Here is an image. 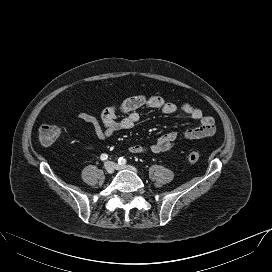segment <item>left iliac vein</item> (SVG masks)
<instances>
[{
	"instance_id": "4c4485c4",
	"label": "left iliac vein",
	"mask_w": 272,
	"mask_h": 272,
	"mask_svg": "<svg viewBox=\"0 0 272 272\" xmlns=\"http://www.w3.org/2000/svg\"><path fill=\"white\" fill-rule=\"evenodd\" d=\"M109 164H111L113 166L114 169L116 170H129V171H132L134 173H137V169L133 166H130V165H119L117 163H114V162H107Z\"/></svg>"
}]
</instances>
